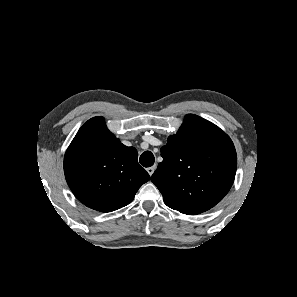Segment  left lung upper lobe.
<instances>
[{
    "mask_svg": "<svg viewBox=\"0 0 297 297\" xmlns=\"http://www.w3.org/2000/svg\"><path fill=\"white\" fill-rule=\"evenodd\" d=\"M163 161L151 181L165 204L197 215L215 206L230 190L237 167L230 137L200 116L186 115L176 135L161 148Z\"/></svg>",
    "mask_w": 297,
    "mask_h": 297,
    "instance_id": "obj_1",
    "label": "left lung upper lobe"
}]
</instances>
